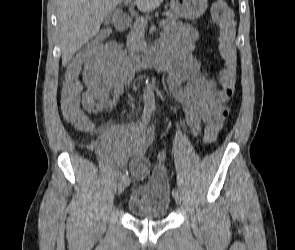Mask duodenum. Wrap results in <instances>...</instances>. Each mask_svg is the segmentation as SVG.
Masks as SVG:
<instances>
[{
	"label": "duodenum",
	"mask_w": 295,
	"mask_h": 250,
	"mask_svg": "<svg viewBox=\"0 0 295 250\" xmlns=\"http://www.w3.org/2000/svg\"><path fill=\"white\" fill-rule=\"evenodd\" d=\"M130 22V14L123 12L115 16L113 27L118 32H124L129 28ZM150 66H156L158 70L167 67L166 52L160 45L158 47H151L136 56H125L122 54L117 60L116 75L120 81H128L135 74Z\"/></svg>",
	"instance_id": "duodenum-1"
}]
</instances>
